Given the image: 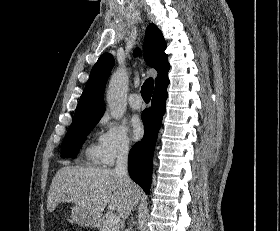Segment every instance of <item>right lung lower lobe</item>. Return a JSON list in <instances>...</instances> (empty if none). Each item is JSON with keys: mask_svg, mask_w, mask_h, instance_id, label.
I'll use <instances>...</instances> for the list:
<instances>
[{"mask_svg": "<svg viewBox=\"0 0 280 231\" xmlns=\"http://www.w3.org/2000/svg\"><path fill=\"white\" fill-rule=\"evenodd\" d=\"M166 90L154 92L151 107L142 113L145 133L129 153L128 170L130 177L149 194L152 176V159L162 118L166 110Z\"/></svg>", "mask_w": 280, "mask_h": 231, "instance_id": "right-lung-lower-lobe-1", "label": "right lung lower lobe"}]
</instances>
